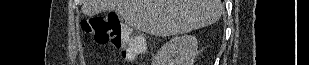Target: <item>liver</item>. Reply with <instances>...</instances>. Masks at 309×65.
Here are the masks:
<instances>
[{
  "instance_id": "1",
  "label": "liver",
  "mask_w": 309,
  "mask_h": 65,
  "mask_svg": "<svg viewBox=\"0 0 309 65\" xmlns=\"http://www.w3.org/2000/svg\"><path fill=\"white\" fill-rule=\"evenodd\" d=\"M221 0H84L82 12L116 11L133 28L155 36L182 34L216 23Z\"/></svg>"
}]
</instances>
